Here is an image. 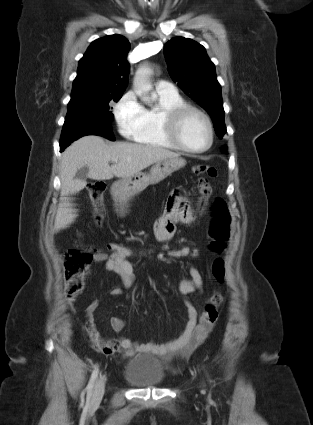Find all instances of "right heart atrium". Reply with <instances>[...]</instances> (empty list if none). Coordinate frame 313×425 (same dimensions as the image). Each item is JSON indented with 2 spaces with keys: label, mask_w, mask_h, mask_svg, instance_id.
<instances>
[{
  "label": "right heart atrium",
  "mask_w": 313,
  "mask_h": 425,
  "mask_svg": "<svg viewBox=\"0 0 313 425\" xmlns=\"http://www.w3.org/2000/svg\"><path fill=\"white\" fill-rule=\"evenodd\" d=\"M114 117L120 133L134 138L144 127L145 108L132 91L125 93L114 107Z\"/></svg>",
  "instance_id": "1"
}]
</instances>
